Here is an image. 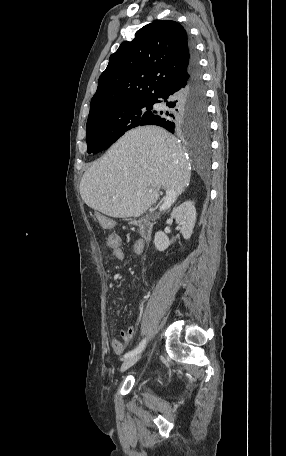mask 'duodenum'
Masks as SVG:
<instances>
[{
    "instance_id": "410a0bca",
    "label": "duodenum",
    "mask_w": 286,
    "mask_h": 456,
    "mask_svg": "<svg viewBox=\"0 0 286 456\" xmlns=\"http://www.w3.org/2000/svg\"><path fill=\"white\" fill-rule=\"evenodd\" d=\"M136 226L139 232L140 241L143 243L149 242L153 232L152 222L147 219H141L136 222Z\"/></svg>"
}]
</instances>
